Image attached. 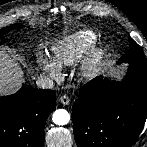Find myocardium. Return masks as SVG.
Returning <instances> with one entry per match:
<instances>
[{
  "mask_svg": "<svg viewBox=\"0 0 147 147\" xmlns=\"http://www.w3.org/2000/svg\"><path fill=\"white\" fill-rule=\"evenodd\" d=\"M107 47L103 44H95L85 55L80 74L84 79L96 77L106 65Z\"/></svg>",
  "mask_w": 147,
  "mask_h": 147,
  "instance_id": "obj_1",
  "label": "myocardium"
}]
</instances>
